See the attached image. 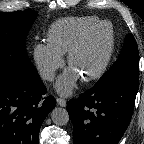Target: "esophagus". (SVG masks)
Instances as JSON below:
<instances>
[{"label":"esophagus","instance_id":"1","mask_svg":"<svg viewBox=\"0 0 144 144\" xmlns=\"http://www.w3.org/2000/svg\"><path fill=\"white\" fill-rule=\"evenodd\" d=\"M56 101H57L58 105H60L61 107H65L67 104L66 100L63 98H57Z\"/></svg>","mask_w":144,"mask_h":144}]
</instances>
